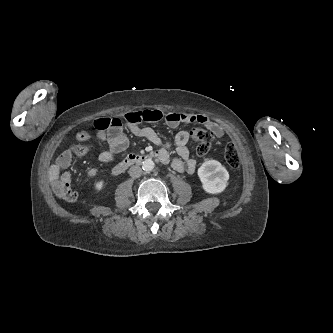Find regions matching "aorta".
I'll return each mask as SVG.
<instances>
[{"instance_id":"1","label":"aorta","mask_w":333,"mask_h":333,"mask_svg":"<svg viewBox=\"0 0 333 333\" xmlns=\"http://www.w3.org/2000/svg\"><path fill=\"white\" fill-rule=\"evenodd\" d=\"M154 162L151 159H146L142 162V169L146 172H150L154 169Z\"/></svg>"}]
</instances>
